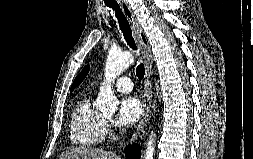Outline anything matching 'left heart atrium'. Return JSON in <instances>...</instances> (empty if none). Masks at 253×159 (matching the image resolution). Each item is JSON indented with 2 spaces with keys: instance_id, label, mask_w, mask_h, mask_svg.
Returning a JSON list of instances; mask_svg holds the SVG:
<instances>
[{
  "instance_id": "39dd6f15",
  "label": "left heart atrium",
  "mask_w": 253,
  "mask_h": 159,
  "mask_svg": "<svg viewBox=\"0 0 253 159\" xmlns=\"http://www.w3.org/2000/svg\"><path fill=\"white\" fill-rule=\"evenodd\" d=\"M142 112L141 101L135 96H126L121 100L116 122L120 126H133L141 118Z\"/></svg>"
}]
</instances>
